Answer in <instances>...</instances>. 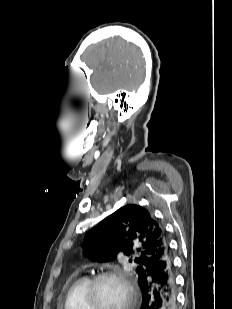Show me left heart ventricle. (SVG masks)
Listing matches in <instances>:
<instances>
[{"mask_svg": "<svg viewBox=\"0 0 232 309\" xmlns=\"http://www.w3.org/2000/svg\"><path fill=\"white\" fill-rule=\"evenodd\" d=\"M98 309H121L126 299L125 287L116 279H106L97 288Z\"/></svg>", "mask_w": 232, "mask_h": 309, "instance_id": "1", "label": "left heart ventricle"}]
</instances>
